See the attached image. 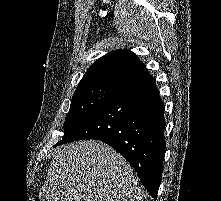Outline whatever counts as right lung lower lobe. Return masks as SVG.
Listing matches in <instances>:
<instances>
[{"mask_svg":"<svg viewBox=\"0 0 221 201\" xmlns=\"http://www.w3.org/2000/svg\"><path fill=\"white\" fill-rule=\"evenodd\" d=\"M164 109L154 78L146 73L119 89L61 144L82 139L105 142L130 162L156 198L166 147Z\"/></svg>","mask_w":221,"mask_h":201,"instance_id":"obj_1","label":"right lung lower lobe"}]
</instances>
